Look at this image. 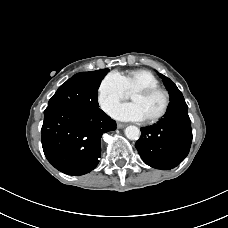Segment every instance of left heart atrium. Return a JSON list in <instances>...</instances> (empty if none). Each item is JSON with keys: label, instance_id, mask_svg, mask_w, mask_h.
<instances>
[{"label": "left heart atrium", "instance_id": "left-heart-atrium-1", "mask_svg": "<svg viewBox=\"0 0 228 228\" xmlns=\"http://www.w3.org/2000/svg\"><path fill=\"white\" fill-rule=\"evenodd\" d=\"M110 115L117 119L122 121H143L145 120V116L140 109V107L131 102V103H125V104H119L114 106L110 110Z\"/></svg>", "mask_w": 228, "mask_h": 228}]
</instances>
